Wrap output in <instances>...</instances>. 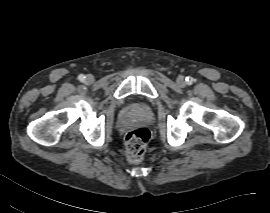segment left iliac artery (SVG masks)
<instances>
[{
	"mask_svg": "<svg viewBox=\"0 0 270 213\" xmlns=\"http://www.w3.org/2000/svg\"><path fill=\"white\" fill-rule=\"evenodd\" d=\"M186 81H192V79L190 80L189 78H186Z\"/></svg>",
	"mask_w": 270,
	"mask_h": 213,
	"instance_id": "1",
	"label": "left iliac artery"
}]
</instances>
